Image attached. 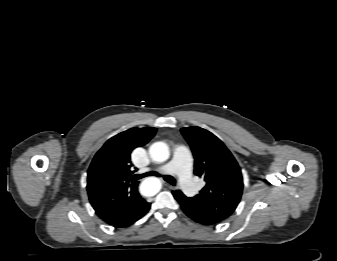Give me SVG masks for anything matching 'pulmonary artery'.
Instances as JSON below:
<instances>
[{"label": "pulmonary artery", "mask_w": 337, "mask_h": 261, "mask_svg": "<svg viewBox=\"0 0 337 261\" xmlns=\"http://www.w3.org/2000/svg\"><path fill=\"white\" fill-rule=\"evenodd\" d=\"M192 155L188 147L178 145L173 153L171 161L158 168L163 174H175L179 179L184 193L192 196L196 193V187L191 178Z\"/></svg>", "instance_id": "1"}]
</instances>
